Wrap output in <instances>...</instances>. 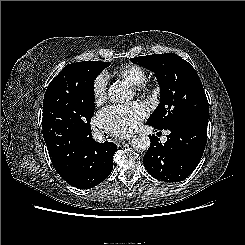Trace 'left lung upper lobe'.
<instances>
[{
    "label": "left lung upper lobe",
    "mask_w": 245,
    "mask_h": 245,
    "mask_svg": "<svg viewBox=\"0 0 245 245\" xmlns=\"http://www.w3.org/2000/svg\"><path fill=\"white\" fill-rule=\"evenodd\" d=\"M130 60L154 72L160 85V103L148 118V124L167 129L193 117L208 118V100L202 83L187 61L174 53Z\"/></svg>",
    "instance_id": "left-lung-upper-lobe-1"
}]
</instances>
